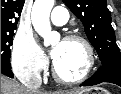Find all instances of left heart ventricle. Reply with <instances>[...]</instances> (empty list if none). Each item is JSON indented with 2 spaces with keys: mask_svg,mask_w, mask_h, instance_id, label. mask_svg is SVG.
Instances as JSON below:
<instances>
[{
  "mask_svg": "<svg viewBox=\"0 0 121 94\" xmlns=\"http://www.w3.org/2000/svg\"><path fill=\"white\" fill-rule=\"evenodd\" d=\"M54 48H58V55L54 60L58 72L64 78L79 76L85 69L86 51L84 46L75 41H56Z\"/></svg>",
  "mask_w": 121,
  "mask_h": 94,
  "instance_id": "b2bd125f",
  "label": "left heart ventricle"
}]
</instances>
